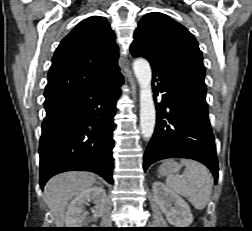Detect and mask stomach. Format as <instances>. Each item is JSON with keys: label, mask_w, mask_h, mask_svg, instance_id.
I'll use <instances>...</instances> for the list:
<instances>
[{"label": "stomach", "mask_w": 252, "mask_h": 231, "mask_svg": "<svg viewBox=\"0 0 252 231\" xmlns=\"http://www.w3.org/2000/svg\"><path fill=\"white\" fill-rule=\"evenodd\" d=\"M180 168L181 166L174 160H167L160 166L159 173L164 176L174 175Z\"/></svg>", "instance_id": "obj_1"}]
</instances>
